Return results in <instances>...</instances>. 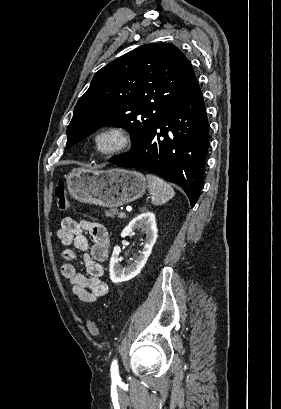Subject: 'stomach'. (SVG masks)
<instances>
[{
	"instance_id": "stomach-1",
	"label": "stomach",
	"mask_w": 281,
	"mask_h": 409,
	"mask_svg": "<svg viewBox=\"0 0 281 409\" xmlns=\"http://www.w3.org/2000/svg\"><path fill=\"white\" fill-rule=\"evenodd\" d=\"M66 186L79 202L116 209L140 198L147 188V180L137 170H90L79 166L67 174Z\"/></svg>"
}]
</instances>
